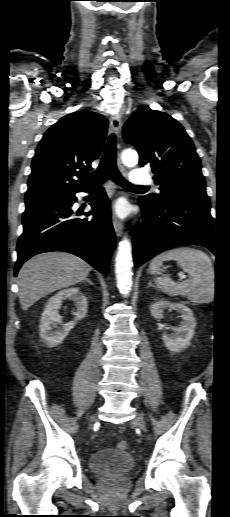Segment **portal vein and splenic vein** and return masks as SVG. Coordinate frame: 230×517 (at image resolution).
Segmentation results:
<instances>
[{
	"mask_svg": "<svg viewBox=\"0 0 230 517\" xmlns=\"http://www.w3.org/2000/svg\"><path fill=\"white\" fill-rule=\"evenodd\" d=\"M179 276H180V279H185L186 278V276L184 274H179Z\"/></svg>",
	"mask_w": 230,
	"mask_h": 517,
	"instance_id": "obj_1",
	"label": "portal vein and splenic vein"
}]
</instances>
